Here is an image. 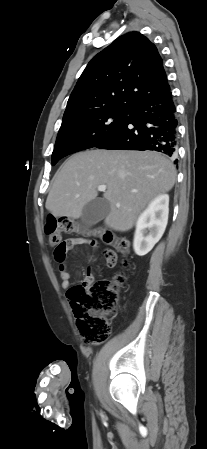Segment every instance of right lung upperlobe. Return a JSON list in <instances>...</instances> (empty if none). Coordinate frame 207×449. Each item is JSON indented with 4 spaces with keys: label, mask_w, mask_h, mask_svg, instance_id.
I'll list each match as a JSON object with an SVG mask.
<instances>
[{
    "label": "right lung upper lobe",
    "mask_w": 207,
    "mask_h": 449,
    "mask_svg": "<svg viewBox=\"0 0 207 449\" xmlns=\"http://www.w3.org/2000/svg\"><path fill=\"white\" fill-rule=\"evenodd\" d=\"M168 91L156 46L142 34L131 32L88 63L69 97L63 120L100 109H133Z\"/></svg>",
    "instance_id": "obj_1"
}]
</instances>
